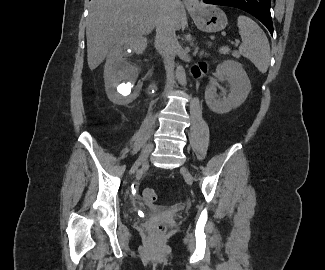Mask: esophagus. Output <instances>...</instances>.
Masks as SVG:
<instances>
[{"mask_svg":"<svg viewBox=\"0 0 325 270\" xmlns=\"http://www.w3.org/2000/svg\"><path fill=\"white\" fill-rule=\"evenodd\" d=\"M184 4L188 10L195 9L199 6V0H184Z\"/></svg>","mask_w":325,"mask_h":270,"instance_id":"esophagus-1","label":"esophagus"}]
</instances>
